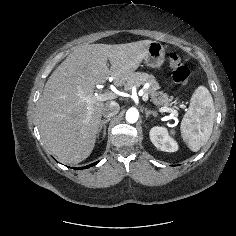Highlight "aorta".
<instances>
[{
	"mask_svg": "<svg viewBox=\"0 0 236 236\" xmlns=\"http://www.w3.org/2000/svg\"><path fill=\"white\" fill-rule=\"evenodd\" d=\"M138 118H139V112L137 109L135 108L128 109V111L126 112V120L129 123L137 122Z\"/></svg>",
	"mask_w": 236,
	"mask_h": 236,
	"instance_id": "aorta-1",
	"label": "aorta"
}]
</instances>
